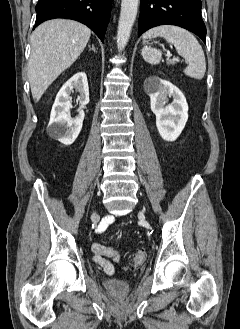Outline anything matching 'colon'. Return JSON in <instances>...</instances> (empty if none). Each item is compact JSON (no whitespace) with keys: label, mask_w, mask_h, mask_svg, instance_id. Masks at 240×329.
Instances as JSON below:
<instances>
[{"label":"colon","mask_w":240,"mask_h":329,"mask_svg":"<svg viewBox=\"0 0 240 329\" xmlns=\"http://www.w3.org/2000/svg\"><path fill=\"white\" fill-rule=\"evenodd\" d=\"M146 260V253L144 251H139L132 255L129 260L127 267L129 270H134L141 266Z\"/></svg>","instance_id":"obj_1"}]
</instances>
